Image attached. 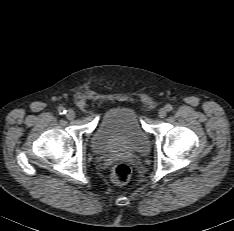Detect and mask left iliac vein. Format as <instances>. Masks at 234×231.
Masks as SVG:
<instances>
[{
	"label": "left iliac vein",
	"mask_w": 234,
	"mask_h": 231,
	"mask_svg": "<svg viewBox=\"0 0 234 231\" xmlns=\"http://www.w3.org/2000/svg\"><path fill=\"white\" fill-rule=\"evenodd\" d=\"M166 115H167L166 109H165V108H161V109L159 110V112H158L159 118L163 119V118L166 117Z\"/></svg>",
	"instance_id": "left-iliac-vein-1"
}]
</instances>
